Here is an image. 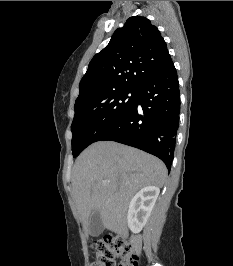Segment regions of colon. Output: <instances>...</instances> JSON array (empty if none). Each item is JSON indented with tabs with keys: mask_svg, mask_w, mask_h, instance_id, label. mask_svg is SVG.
Returning a JSON list of instances; mask_svg holds the SVG:
<instances>
[{
	"mask_svg": "<svg viewBox=\"0 0 233 266\" xmlns=\"http://www.w3.org/2000/svg\"><path fill=\"white\" fill-rule=\"evenodd\" d=\"M97 261L93 266H115V259L120 258L119 266H138L139 255L132 243L120 236H107L94 244Z\"/></svg>",
	"mask_w": 233,
	"mask_h": 266,
	"instance_id": "5ec220e1",
	"label": "colon"
}]
</instances>
